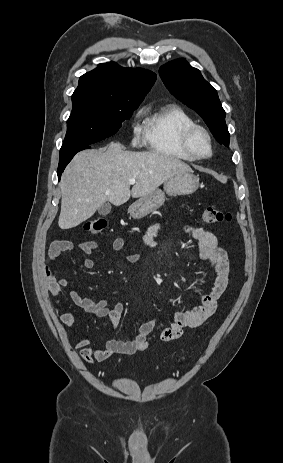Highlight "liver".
Wrapping results in <instances>:
<instances>
[{
  "mask_svg": "<svg viewBox=\"0 0 283 463\" xmlns=\"http://www.w3.org/2000/svg\"><path fill=\"white\" fill-rule=\"evenodd\" d=\"M192 172L183 161L159 152L124 151L120 143L75 155L60 180L58 225L70 229L91 218L106 203L115 206L141 198L179 174ZM130 179L136 183L130 190Z\"/></svg>",
  "mask_w": 283,
  "mask_h": 463,
  "instance_id": "1",
  "label": "liver"
}]
</instances>
